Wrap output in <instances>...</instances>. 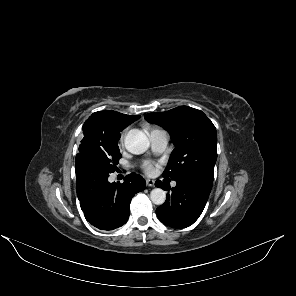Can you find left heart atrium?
Segmentation results:
<instances>
[{
  "mask_svg": "<svg viewBox=\"0 0 296 296\" xmlns=\"http://www.w3.org/2000/svg\"><path fill=\"white\" fill-rule=\"evenodd\" d=\"M141 168L147 175H154L157 171V164L151 160H144Z\"/></svg>",
  "mask_w": 296,
  "mask_h": 296,
  "instance_id": "39dd6f15",
  "label": "left heart atrium"
}]
</instances>
